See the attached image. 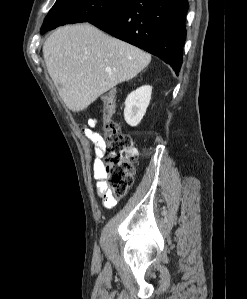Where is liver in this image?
<instances>
[{
    "mask_svg": "<svg viewBox=\"0 0 247 299\" xmlns=\"http://www.w3.org/2000/svg\"><path fill=\"white\" fill-rule=\"evenodd\" d=\"M48 73L73 112L86 109L119 83L145 69L151 55L89 23L56 29L43 45Z\"/></svg>",
    "mask_w": 247,
    "mask_h": 299,
    "instance_id": "6515ba94",
    "label": "liver"
}]
</instances>
